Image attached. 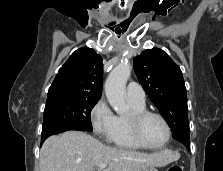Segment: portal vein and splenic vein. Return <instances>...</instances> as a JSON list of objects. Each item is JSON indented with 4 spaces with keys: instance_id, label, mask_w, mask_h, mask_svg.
<instances>
[{
    "instance_id": "18ae733b",
    "label": "portal vein and splenic vein",
    "mask_w": 223,
    "mask_h": 171,
    "mask_svg": "<svg viewBox=\"0 0 223 171\" xmlns=\"http://www.w3.org/2000/svg\"><path fill=\"white\" fill-rule=\"evenodd\" d=\"M97 167L100 169H104L106 168V164H98Z\"/></svg>"
}]
</instances>
